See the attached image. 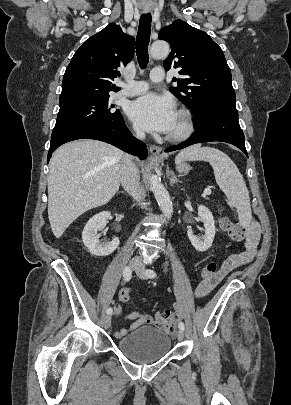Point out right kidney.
<instances>
[{"instance_id": "1", "label": "right kidney", "mask_w": 291, "mask_h": 405, "mask_svg": "<svg viewBox=\"0 0 291 405\" xmlns=\"http://www.w3.org/2000/svg\"><path fill=\"white\" fill-rule=\"evenodd\" d=\"M110 212L104 211L93 216L85 225L82 232V240L89 252L95 256H107L114 252L120 242L117 237L109 243H101L99 241V230L105 228Z\"/></svg>"}]
</instances>
